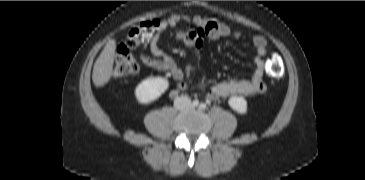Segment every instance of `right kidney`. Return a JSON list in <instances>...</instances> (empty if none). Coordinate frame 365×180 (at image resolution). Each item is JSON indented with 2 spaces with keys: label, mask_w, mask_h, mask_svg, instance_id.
<instances>
[{
  "label": "right kidney",
  "mask_w": 365,
  "mask_h": 180,
  "mask_svg": "<svg viewBox=\"0 0 365 180\" xmlns=\"http://www.w3.org/2000/svg\"><path fill=\"white\" fill-rule=\"evenodd\" d=\"M169 88V82L162 77L146 78L135 88V97L140 104H149L158 99Z\"/></svg>",
  "instance_id": "right-kidney-1"
}]
</instances>
